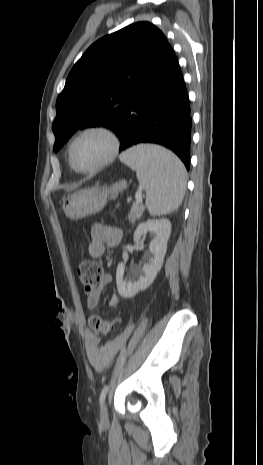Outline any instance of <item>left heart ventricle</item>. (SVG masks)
Listing matches in <instances>:
<instances>
[{"label": "left heart ventricle", "instance_id": "b2bd125f", "mask_svg": "<svg viewBox=\"0 0 263 465\" xmlns=\"http://www.w3.org/2000/svg\"><path fill=\"white\" fill-rule=\"evenodd\" d=\"M109 139L101 133H88L79 138L72 149L75 165L81 169H90L99 164L110 152Z\"/></svg>", "mask_w": 263, "mask_h": 465}]
</instances>
